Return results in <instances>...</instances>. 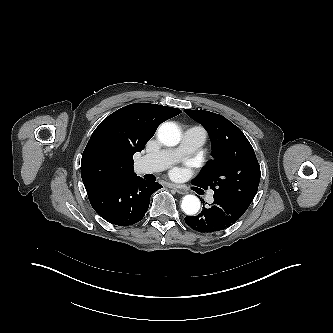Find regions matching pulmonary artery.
<instances>
[{"label": "pulmonary artery", "instance_id": "e3ab8cb5", "mask_svg": "<svg viewBox=\"0 0 333 333\" xmlns=\"http://www.w3.org/2000/svg\"><path fill=\"white\" fill-rule=\"evenodd\" d=\"M207 133L201 126L188 128L182 137L180 145L176 148L164 149L142 157L138 164L140 173H155L162 171L181 158L194 153L206 141ZM212 200V195H209Z\"/></svg>", "mask_w": 333, "mask_h": 333}]
</instances>
